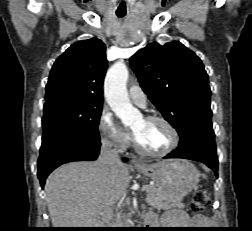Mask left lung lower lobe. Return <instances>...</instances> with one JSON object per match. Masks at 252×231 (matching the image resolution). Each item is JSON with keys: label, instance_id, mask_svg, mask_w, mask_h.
Here are the masks:
<instances>
[{"label": "left lung lower lobe", "instance_id": "0a47b994", "mask_svg": "<svg viewBox=\"0 0 252 231\" xmlns=\"http://www.w3.org/2000/svg\"><path fill=\"white\" fill-rule=\"evenodd\" d=\"M164 158L199 161L210 167L217 175L218 159L212 124H197L184 130L180 135L178 148Z\"/></svg>", "mask_w": 252, "mask_h": 231}]
</instances>
